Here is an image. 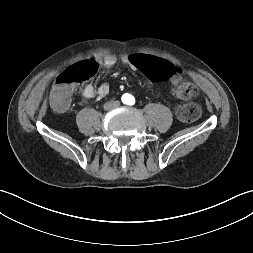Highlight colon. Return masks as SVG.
<instances>
[{"label":"colon","mask_w":253,"mask_h":253,"mask_svg":"<svg viewBox=\"0 0 253 253\" xmlns=\"http://www.w3.org/2000/svg\"><path fill=\"white\" fill-rule=\"evenodd\" d=\"M129 60L139 67L143 73L156 80L170 76L174 72L173 66L167 60H157L147 53H133ZM98 63L94 60L83 61L71 66L56 79L52 89V102L58 110H65L69 106L72 85L90 79L97 71ZM180 99H189L196 94V87L192 83L180 82L174 89ZM201 108L196 103H187L178 107V118L183 122H193L201 116Z\"/></svg>","instance_id":"5ec220e1"}]
</instances>
